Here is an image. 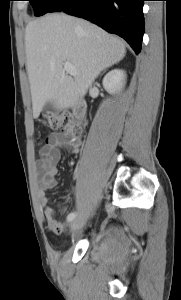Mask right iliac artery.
<instances>
[{
    "instance_id": "1",
    "label": "right iliac artery",
    "mask_w": 181,
    "mask_h": 300,
    "mask_svg": "<svg viewBox=\"0 0 181 300\" xmlns=\"http://www.w3.org/2000/svg\"><path fill=\"white\" fill-rule=\"evenodd\" d=\"M76 217V213L75 212H71L68 216H67V221L71 222L72 220H74V218Z\"/></svg>"
}]
</instances>
